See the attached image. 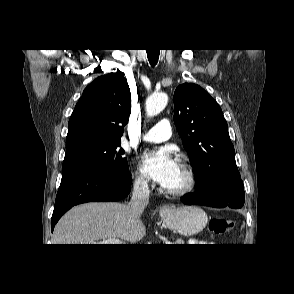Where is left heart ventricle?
Segmentation results:
<instances>
[{
	"instance_id": "left-heart-ventricle-1",
	"label": "left heart ventricle",
	"mask_w": 294,
	"mask_h": 294,
	"mask_svg": "<svg viewBox=\"0 0 294 294\" xmlns=\"http://www.w3.org/2000/svg\"><path fill=\"white\" fill-rule=\"evenodd\" d=\"M184 183H185V176H184L183 171L180 168V166L177 165V168H176L172 178L167 183V185L164 187L168 188V189H178V188L182 187L184 185Z\"/></svg>"
}]
</instances>
